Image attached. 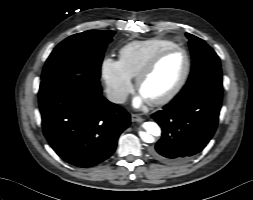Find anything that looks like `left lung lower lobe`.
<instances>
[{
	"mask_svg": "<svg viewBox=\"0 0 253 200\" xmlns=\"http://www.w3.org/2000/svg\"><path fill=\"white\" fill-rule=\"evenodd\" d=\"M222 89L207 87L184 98H174L152 118L162 137L151 155L162 162L178 164L200 152L210 141L218 124Z\"/></svg>",
	"mask_w": 253,
	"mask_h": 200,
	"instance_id": "obj_1",
	"label": "left lung lower lobe"
}]
</instances>
